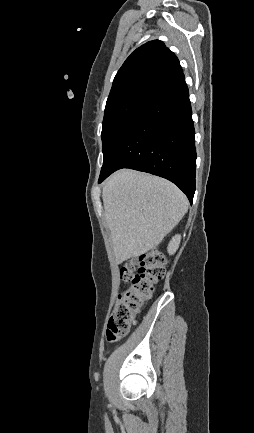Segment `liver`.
<instances>
[{
  "label": "liver",
  "mask_w": 254,
  "mask_h": 433,
  "mask_svg": "<svg viewBox=\"0 0 254 433\" xmlns=\"http://www.w3.org/2000/svg\"><path fill=\"white\" fill-rule=\"evenodd\" d=\"M102 198L118 264L157 247L188 210L174 184L128 169L105 182Z\"/></svg>",
  "instance_id": "obj_1"
}]
</instances>
